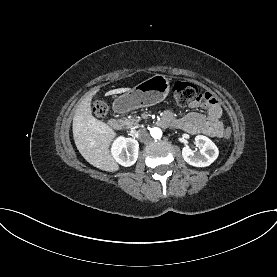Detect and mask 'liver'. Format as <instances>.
<instances>
[{"mask_svg": "<svg viewBox=\"0 0 277 277\" xmlns=\"http://www.w3.org/2000/svg\"><path fill=\"white\" fill-rule=\"evenodd\" d=\"M129 90L130 88L113 89L107 95ZM96 92L85 96L76 108L72 124L73 137L77 149L87 162L103 171L115 172L119 170V165L110 154L109 147L116 133L109 125L92 115L91 101Z\"/></svg>", "mask_w": 277, "mask_h": 277, "instance_id": "1", "label": "liver"}]
</instances>
